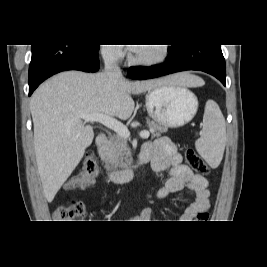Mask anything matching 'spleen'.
Instances as JSON below:
<instances>
[{
	"mask_svg": "<svg viewBox=\"0 0 267 267\" xmlns=\"http://www.w3.org/2000/svg\"><path fill=\"white\" fill-rule=\"evenodd\" d=\"M225 119L217 105L208 107L203 117V129L196 142L198 153L213 168L220 164L225 149Z\"/></svg>",
	"mask_w": 267,
	"mask_h": 267,
	"instance_id": "3e777b00",
	"label": "spleen"
}]
</instances>
